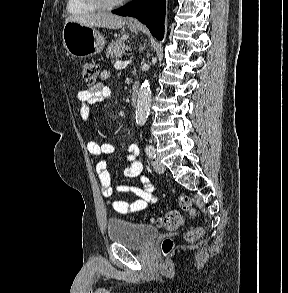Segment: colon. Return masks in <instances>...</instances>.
Here are the masks:
<instances>
[{
    "mask_svg": "<svg viewBox=\"0 0 288 293\" xmlns=\"http://www.w3.org/2000/svg\"><path fill=\"white\" fill-rule=\"evenodd\" d=\"M100 73V68L97 63L94 61L88 60L85 61L82 65V75L89 86H93L96 84ZM179 203L182 209L191 214L195 213V209L193 207L192 201L187 196H181L179 198ZM183 222L182 214L177 210H171L165 213L162 217H160L157 223L166 228V229H175L181 226ZM203 234L201 228H195L186 233V240L188 242H194L199 239ZM173 249V241L169 238H166L162 242V250L164 254H168Z\"/></svg>",
    "mask_w": 288,
    "mask_h": 293,
    "instance_id": "obj_1",
    "label": "colon"
}]
</instances>
